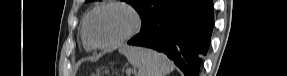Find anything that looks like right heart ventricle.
<instances>
[{
  "label": "right heart ventricle",
  "instance_id": "1",
  "mask_svg": "<svg viewBox=\"0 0 287 76\" xmlns=\"http://www.w3.org/2000/svg\"><path fill=\"white\" fill-rule=\"evenodd\" d=\"M82 39H83V44H84V47L88 50L92 49V47L90 46V44L87 42V40L85 39V36H84V33L82 35Z\"/></svg>",
  "mask_w": 287,
  "mask_h": 76
}]
</instances>
